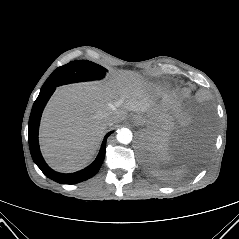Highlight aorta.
<instances>
[{
	"label": "aorta",
	"mask_w": 239,
	"mask_h": 239,
	"mask_svg": "<svg viewBox=\"0 0 239 239\" xmlns=\"http://www.w3.org/2000/svg\"><path fill=\"white\" fill-rule=\"evenodd\" d=\"M133 134L128 128H120L117 130L116 138L122 144H129L132 141Z\"/></svg>",
	"instance_id": "aorta-1"
}]
</instances>
